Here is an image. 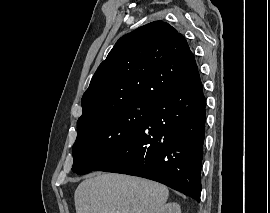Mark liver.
<instances>
[{
	"label": "liver",
	"mask_w": 270,
	"mask_h": 213,
	"mask_svg": "<svg viewBox=\"0 0 270 213\" xmlns=\"http://www.w3.org/2000/svg\"><path fill=\"white\" fill-rule=\"evenodd\" d=\"M169 196L167 187L138 177L95 173L75 190L76 213H157Z\"/></svg>",
	"instance_id": "6515ba94"
}]
</instances>
